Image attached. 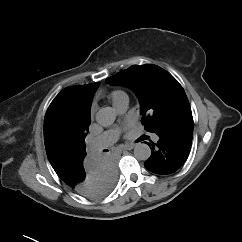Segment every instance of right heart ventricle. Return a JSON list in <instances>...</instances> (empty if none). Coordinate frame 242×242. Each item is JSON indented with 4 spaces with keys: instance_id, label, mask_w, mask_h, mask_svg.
Instances as JSON below:
<instances>
[{
    "instance_id": "obj_1",
    "label": "right heart ventricle",
    "mask_w": 242,
    "mask_h": 242,
    "mask_svg": "<svg viewBox=\"0 0 242 242\" xmlns=\"http://www.w3.org/2000/svg\"><path fill=\"white\" fill-rule=\"evenodd\" d=\"M122 96H126V94L121 90H114L110 94L113 104Z\"/></svg>"
}]
</instances>
